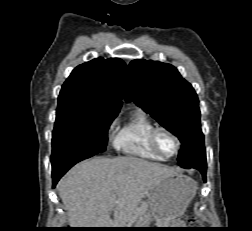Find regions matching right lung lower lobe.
I'll return each mask as SVG.
<instances>
[{"label": "right lung lower lobe", "mask_w": 252, "mask_h": 231, "mask_svg": "<svg viewBox=\"0 0 252 231\" xmlns=\"http://www.w3.org/2000/svg\"><path fill=\"white\" fill-rule=\"evenodd\" d=\"M94 155H85V156H78V157H74L71 158L69 160L60 162L56 165H52V177H53V187H55V185L57 184V182L59 181V179L76 163L90 158Z\"/></svg>", "instance_id": "obj_1"}]
</instances>
